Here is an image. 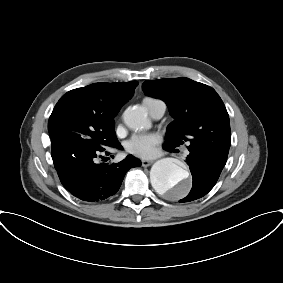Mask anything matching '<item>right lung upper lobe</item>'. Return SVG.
<instances>
[{"mask_svg": "<svg viewBox=\"0 0 283 283\" xmlns=\"http://www.w3.org/2000/svg\"><path fill=\"white\" fill-rule=\"evenodd\" d=\"M137 81L94 83L67 92L75 96L106 122L114 121L121 107L133 96Z\"/></svg>", "mask_w": 283, "mask_h": 283, "instance_id": "cb5924a9", "label": "right lung upper lobe"}]
</instances>
